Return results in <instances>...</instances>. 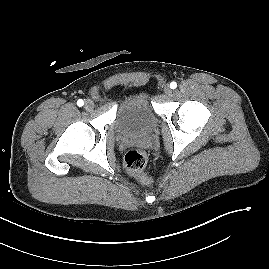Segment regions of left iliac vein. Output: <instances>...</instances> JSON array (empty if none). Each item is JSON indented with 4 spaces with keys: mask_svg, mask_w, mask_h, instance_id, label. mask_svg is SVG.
Returning a JSON list of instances; mask_svg holds the SVG:
<instances>
[{
    "mask_svg": "<svg viewBox=\"0 0 269 269\" xmlns=\"http://www.w3.org/2000/svg\"><path fill=\"white\" fill-rule=\"evenodd\" d=\"M163 91H164V93H165L166 95H168V96H170L171 93H172V90H171V88H170V86H169L168 84H166V85L164 86Z\"/></svg>",
    "mask_w": 269,
    "mask_h": 269,
    "instance_id": "left-iliac-vein-1",
    "label": "left iliac vein"
}]
</instances>
